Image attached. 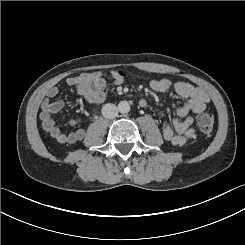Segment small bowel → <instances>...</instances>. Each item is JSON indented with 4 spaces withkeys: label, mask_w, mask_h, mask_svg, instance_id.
Here are the masks:
<instances>
[{
    "label": "small bowel",
    "mask_w": 245,
    "mask_h": 245,
    "mask_svg": "<svg viewBox=\"0 0 245 245\" xmlns=\"http://www.w3.org/2000/svg\"><path fill=\"white\" fill-rule=\"evenodd\" d=\"M111 85L118 86L124 81V77L118 71H110ZM69 86L74 87L78 93L88 102H103L109 90L104 73L95 71L82 73L67 80ZM150 88L156 92H167L173 90L176 94L186 99V102L178 107L177 117L173 122H164L162 127L163 138L174 146H183L195 134L193 127L194 115L201 113L209 102V96L205 90L194 87L184 81H172L167 78L153 79L149 83ZM59 93V87H51L41 103L39 118L43 129L57 142L72 144L84 137L83 129H75L70 132L62 131L56 124L52 114L60 112L65 103L62 100H53ZM140 106L147 105L146 100L139 101ZM163 116V114H161ZM79 120L71 119L70 125H76Z\"/></svg>",
    "instance_id": "small-bowel-1"
}]
</instances>
